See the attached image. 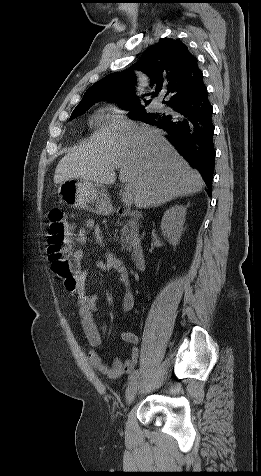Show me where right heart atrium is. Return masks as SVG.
Returning a JSON list of instances; mask_svg holds the SVG:
<instances>
[{
    "label": "right heart atrium",
    "mask_w": 261,
    "mask_h": 476,
    "mask_svg": "<svg viewBox=\"0 0 261 476\" xmlns=\"http://www.w3.org/2000/svg\"><path fill=\"white\" fill-rule=\"evenodd\" d=\"M108 118L114 122L123 120L126 117L127 111L119 106H113L107 109Z\"/></svg>",
    "instance_id": "obj_1"
}]
</instances>
